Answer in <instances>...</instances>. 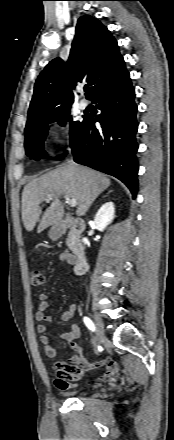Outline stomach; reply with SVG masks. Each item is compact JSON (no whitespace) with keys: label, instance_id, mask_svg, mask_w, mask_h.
<instances>
[{"label":"stomach","instance_id":"0dacf381","mask_svg":"<svg viewBox=\"0 0 174 440\" xmlns=\"http://www.w3.org/2000/svg\"><path fill=\"white\" fill-rule=\"evenodd\" d=\"M49 237H50L51 239L55 240V239L58 238V234L55 233L53 230H51V231L49 232Z\"/></svg>","mask_w":174,"mask_h":440}]
</instances>
